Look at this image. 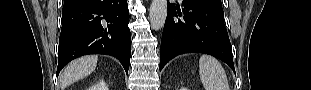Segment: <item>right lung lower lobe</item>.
I'll return each mask as SVG.
<instances>
[{
	"label": "right lung lower lobe",
	"mask_w": 311,
	"mask_h": 90,
	"mask_svg": "<svg viewBox=\"0 0 311 90\" xmlns=\"http://www.w3.org/2000/svg\"><path fill=\"white\" fill-rule=\"evenodd\" d=\"M57 75L71 60L87 54L116 57L128 73L131 34L127 0H65Z\"/></svg>",
	"instance_id": "98d812e1"
}]
</instances>
